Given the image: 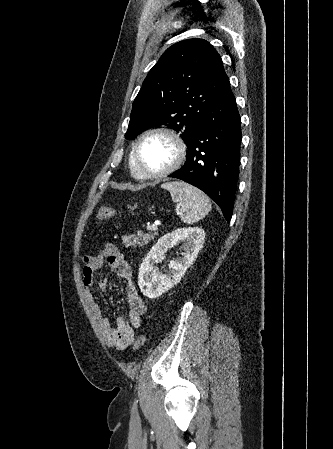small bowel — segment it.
Listing matches in <instances>:
<instances>
[{
    "label": "small bowel",
    "instance_id": "1",
    "mask_svg": "<svg viewBox=\"0 0 333 449\" xmlns=\"http://www.w3.org/2000/svg\"><path fill=\"white\" fill-rule=\"evenodd\" d=\"M83 263V288L96 325L109 346L124 350L134 344L135 329L141 326L142 317L146 312V305L132 280L131 267L113 243L105 244L97 255L84 257ZM104 263L108 264L118 278L126 282L128 319L119 316L116 318L115 325H112L104 316L92 294L94 275ZM109 286V278H102L98 282V287L102 292H107Z\"/></svg>",
    "mask_w": 333,
    "mask_h": 449
}]
</instances>
